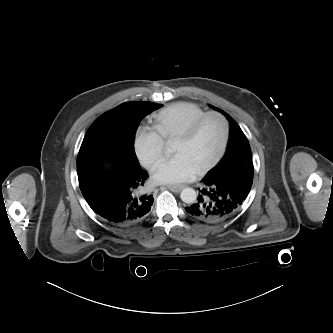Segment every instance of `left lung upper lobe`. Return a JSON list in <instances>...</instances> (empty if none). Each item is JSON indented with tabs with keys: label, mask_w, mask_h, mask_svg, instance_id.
Segmentation results:
<instances>
[{
	"label": "left lung upper lobe",
	"mask_w": 333,
	"mask_h": 333,
	"mask_svg": "<svg viewBox=\"0 0 333 333\" xmlns=\"http://www.w3.org/2000/svg\"><path fill=\"white\" fill-rule=\"evenodd\" d=\"M220 111L229 120L232 129V136L227 153L222 160L211 169L207 175L219 177L229 170H248L253 172L252 154L249 142L239 125L224 111L211 106Z\"/></svg>",
	"instance_id": "left-lung-upper-lobe-1"
}]
</instances>
